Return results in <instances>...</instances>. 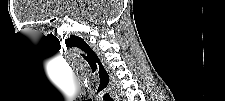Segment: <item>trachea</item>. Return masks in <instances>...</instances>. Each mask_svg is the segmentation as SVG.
I'll list each match as a JSON object with an SVG mask.
<instances>
[{"instance_id": "trachea-1", "label": "trachea", "mask_w": 225, "mask_h": 101, "mask_svg": "<svg viewBox=\"0 0 225 101\" xmlns=\"http://www.w3.org/2000/svg\"><path fill=\"white\" fill-rule=\"evenodd\" d=\"M105 101H114L107 93L103 96Z\"/></svg>"}]
</instances>
